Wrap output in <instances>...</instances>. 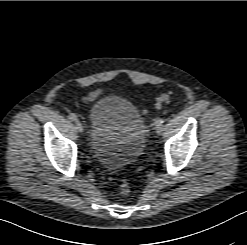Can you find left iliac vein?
<instances>
[{"instance_id": "left-iliac-vein-1", "label": "left iliac vein", "mask_w": 247, "mask_h": 245, "mask_svg": "<svg viewBox=\"0 0 247 245\" xmlns=\"http://www.w3.org/2000/svg\"><path fill=\"white\" fill-rule=\"evenodd\" d=\"M155 126H156V132H157V134H161V132L163 131L162 124L159 125V124H156L155 123Z\"/></svg>"}]
</instances>
